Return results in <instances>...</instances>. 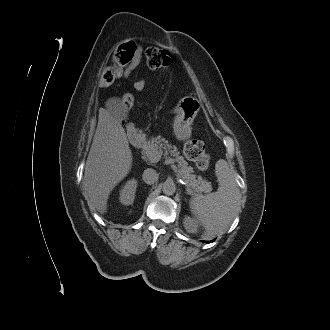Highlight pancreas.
Instances as JSON below:
<instances>
[{
    "mask_svg": "<svg viewBox=\"0 0 330 330\" xmlns=\"http://www.w3.org/2000/svg\"><path fill=\"white\" fill-rule=\"evenodd\" d=\"M142 154L151 162L153 155H162L167 157L170 155L178 163V173L177 176L182 178L186 183L187 188L193 189L195 192H205L208 193L212 191V185L206 179L201 176H197L193 173V168L188 166V163L180 156L177 148L168 143L165 138L157 136L146 141L142 146ZM152 163V162H151Z\"/></svg>",
    "mask_w": 330,
    "mask_h": 330,
    "instance_id": "pancreas-1",
    "label": "pancreas"
}]
</instances>
